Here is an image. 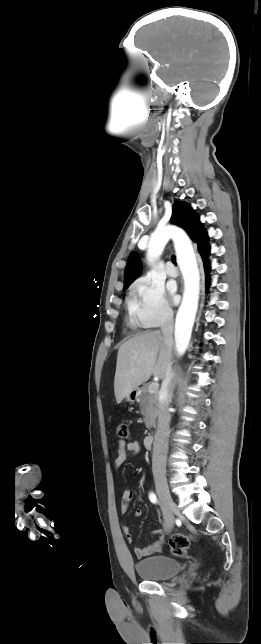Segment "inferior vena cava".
Instances as JSON below:
<instances>
[{"instance_id": "1", "label": "inferior vena cava", "mask_w": 261, "mask_h": 644, "mask_svg": "<svg viewBox=\"0 0 261 644\" xmlns=\"http://www.w3.org/2000/svg\"><path fill=\"white\" fill-rule=\"evenodd\" d=\"M173 312L166 310L163 314V321L161 324V331L165 339V343L168 347H172L173 344ZM175 385V376L174 371L171 367V362L169 361L168 368L165 374V377L162 382L161 392H160V401H159V411H158V423L157 429L154 436L153 442V455H152V471L153 474H165L166 473V458L168 452V442H169V425H170V414H169V404L172 399L173 390Z\"/></svg>"}]
</instances>
